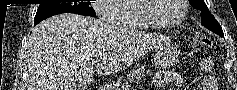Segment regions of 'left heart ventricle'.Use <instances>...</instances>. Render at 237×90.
I'll list each match as a JSON object with an SVG mask.
<instances>
[{
  "label": "left heart ventricle",
  "instance_id": "1",
  "mask_svg": "<svg viewBox=\"0 0 237 90\" xmlns=\"http://www.w3.org/2000/svg\"><path fill=\"white\" fill-rule=\"evenodd\" d=\"M177 0H149L143 6H150L149 15L155 22L164 20L166 24L174 23L179 15Z\"/></svg>",
  "mask_w": 237,
  "mask_h": 90
}]
</instances>
